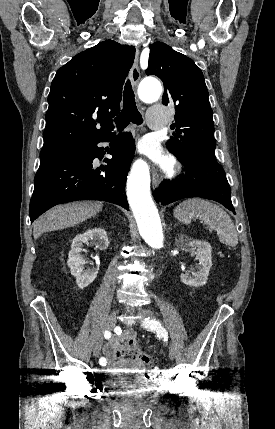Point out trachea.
I'll return each mask as SVG.
<instances>
[{"label":"trachea","mask_w":275,"mask_h":429,"mask_svg":"<svg viewBox=\"0 0 275 429\" xmlns=\"http://www.w3.org/2000/svg\"><path fill=\"white\" fill-rule=\"evenodd\" d=\"M130 122L140 125L143 122L142 115L137 109L134 93L128 80L124 88V105L120 115L115 119L118 130L124 129Z\"/></svg>","instance_id":"3493384b"}]
</instances>
